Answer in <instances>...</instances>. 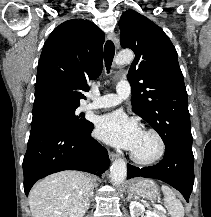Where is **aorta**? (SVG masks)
<instances>
[{"mask_svg": "<svg viewBox=\"0 0 211 217\" xmlns=\"http://www.w3.org/2000/svg\"><path fill=\"white\" fill-rule=\"evenodd\" d=\"M134 59V53L132 51H121L115 58L116 65L129 64ZM111 181L114 185L121 184L127 175L126 163L123 159H116L110 169Z\"/></svg>", "mask_w": 211, "mask_h": 217, "instance_id": "obj_1", "label": "aorta"}]
</instances>
